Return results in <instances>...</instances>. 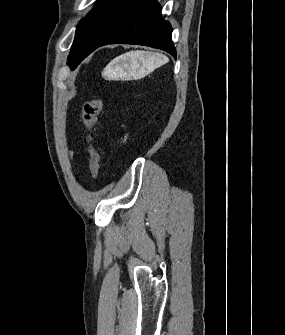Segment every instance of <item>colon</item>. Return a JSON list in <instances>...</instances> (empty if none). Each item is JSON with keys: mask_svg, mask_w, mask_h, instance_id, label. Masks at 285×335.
<instances>
[{"mask_svg": "<svg viewBox=\"0 0 285 335\" xmlns=\"http://www.w3.org/2000/svg\"><path fill=\"white\" fill-rule=\"evenodd\" d=\"M103 108V100L95 97L87 100L82 107L81 118L86 129L88 152H89V168L93 180H97L100 171V157L95 145L94 131L97 124L99 114Z\"/></svg>", "mask_w": 285, "mask_h": 335, "instance_id": "5ec220e1", "label": "colon"}]
</instances>
